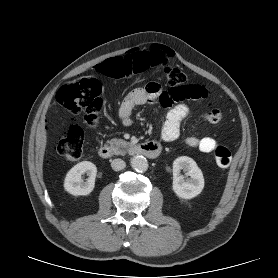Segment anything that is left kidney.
<instances>
[{"instance_id": "5707ae66", "label": "left kidney", "mask_w": 278, "mask_h": 278, "mask_svg": "<svg viewBox=\"0 0 278 278\" xmlns=\"http://www.w3.org/2000/svg\"><path fill=\"white\" fill-rule=\"evenodd\" d=\"M181 170L189 176L184 179ZM173 191L182 199H192L198 196L204 188V177L196 162L187 156H181L173 162Z\"/></svg>"}]
</instances>
